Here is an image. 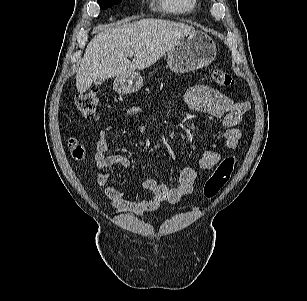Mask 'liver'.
Returning a JSON list of instances; mask_svg holds the SVG:
<instances>
[{
	"label": "liver",
	"mask_w": 307,
	"mask_h": 301,
	"mask_svg": "<svg viewBox=\"0 0 307 301\" xmlns=\"http://www.w3.org/2000/svg\"><path fill=\"white\" fill-rule=\"evenodd\" d=\"M194 30L184 23L153 18L105 29L86 47L76 74L77 91L86 92L98 77H119L150 67Z\"/></svg>",
	"instance_id": "6515ba94"
}]
</instances>
